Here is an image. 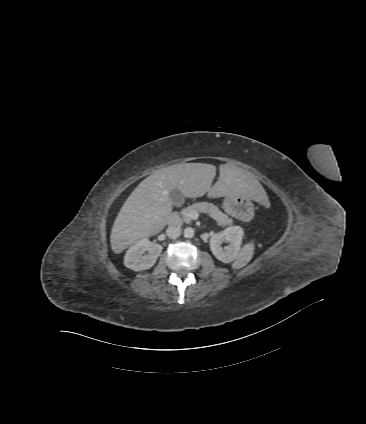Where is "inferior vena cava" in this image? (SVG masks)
<instances>
[{
    "label": "inferior vena cava",
    "mask_w": 366,
    "mask_h": 424,
    "mask_svg": "<svg viewBox=\"0 0 366 424\" xmlns=\"http://www.w3.org/2000/svg\"><path fill=\"white\" fill-rule=\"evenodd\" d=\"M166 234L170 239H176L181 235V228L175 226L168 227Z\"/></svg>",
    "instance_id": "602c4592"
}]
</instances>
